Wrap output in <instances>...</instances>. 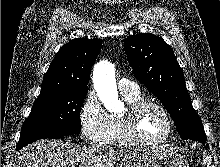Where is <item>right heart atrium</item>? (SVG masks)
Wrapping results in <instances>:
<instances>
[{
    "label": "right heart atrium",
    "instance_id": "right-heart-atrium-1",
    "mask_svg": "<svg viewBox=\"0 0 220 167\" xmlns=\"http://www.w3.org/2000/svg\"><path fill=\"white\" fill-rule=\"evenodd\" d=\"M79 122L85 142L90 144L103 142L108 126V113L92 89L86 93L81 102Z\"/></svg>",
    "mask_w": 220,
    "mask_h": 167
}]
</instances>
